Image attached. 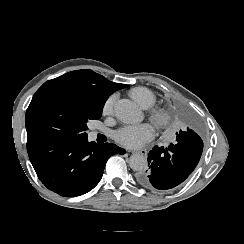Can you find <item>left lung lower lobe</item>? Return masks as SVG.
Masks as SVG:
<instances>
[{
    "label": "left lung lower lobe",
    "mask_w": 244,
    "mask_h": 244,
    "mask_svg": "<svg viewBox=\"0 0 244 244\" xmlns=\"http://www.w3.org/2000/svg\"><path fill=\"white\" fill-rule=\"evenodd\" d=\"M182 128L176 141L167 148L155 146L148 154L146 171L138 174V182L145 188L171 189L181 184L197 166L202 151L200 126L189 115L181 116Z\"/></svg>",
    "instance_id": "left-lung-lower-lobe-1"
}]
</instances>
